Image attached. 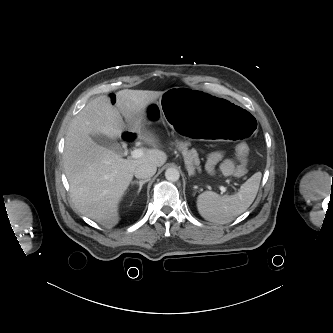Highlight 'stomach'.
Returning <instances> with one entry per match:
<instances>
[{"label": "stomach", "instance_id": "stomach-1", "mask_svg": "<svg viewBox=\"0 0 333 333\" xmlns=\"http://www.w3.org/2000/svg\"><path fill=\"white\" fill-rule=\"evenodd\" d=\"M143 110L145 121L156 125L169 122L191 139L242 143L249 140L256 129L255 117L245 106L228 103L215 93L188 86L166 90L158 103L147 101ZM140 116L138 113L132 118Z\"/></svg>", "mask_w": 333, "mask_h": 333}]
</instances>
